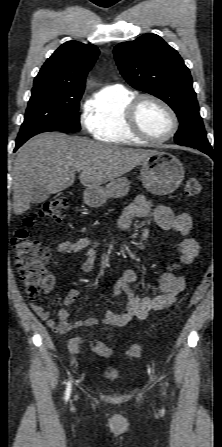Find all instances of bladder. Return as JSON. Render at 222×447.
<instances>
[{
    "label": "bladder",
    "instance_id": "1",
    "mask_svg": "<svg viewBox=\"0 0 222 447\" xmlns=\"http://www.w3.org/2000/svg\"><path fill=\"white\" fill-rule=\"evenodd\" d=\"M103 375L105 378H107L109 380H114V379L118 378L119 372L117 370L107 369L103 372Z\"/></svg>",
    "mask_w": 222,
    "mask_h": 447
}]
</instances>
